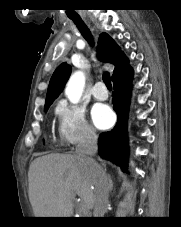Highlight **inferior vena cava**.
Returning <instances> with one entry per match:
<instances>
[{"label":"inferior vena cava","instance_id":"obj_1","mask_svg":"<svg viewBox=\"0 0 181 227\" xmlns=\"http://www.w3.org/2000/svg\"><path fill=\"white\" fill-rule=\"evenodd\" d=\"M98 137L96 133L88 129L83 140L76 147V154L94 169L96 181L94 188V217H104L108 206V193L110 184L104 170L94 161L92 156L97 152Z\"/></svg>","mask_w":181,"mask_h":227}]
</instances>
